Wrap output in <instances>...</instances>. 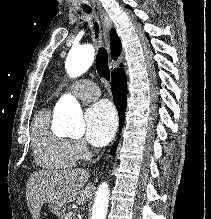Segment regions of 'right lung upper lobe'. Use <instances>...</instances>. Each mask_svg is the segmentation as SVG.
<instances>
[{
  "label": "right lung upper lobe",
  "mask_w": 211,
  "mask_h": 219,
  "mask_svg": "<svg viewBox=\"0 0 211 219\" xmlns=\"http://www.w3.org/2000/svg\"><path fill=\"white\" fill-rule=\"evenodd\" d=\"M110 45H111V56L113 59L116 60L121 53L122 46L120 39L116 34L115 29L111 30Z\"/></svg>",
  "instance_id": "obj_1"
}]
</instances>
